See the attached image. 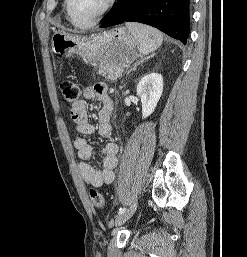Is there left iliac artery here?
I'll use <instances>...</instances> for the list:
<instances>
[{"label": "left iliac artery", "instance_id": "obj_1", "mask_svg": "<svg viewBox=\"0 0 247 257\" xmlns=\"http://www.w3.org/2000/svg\"><path fill=\"white\" fill-rule=\"evenodd\" d=\"M125 210H126V208H125V207H124V208H120V209H119V211H118V214L123 213Z\"/></svg>", "mask_w": 247, "mask_h": 257}]
</instances>
